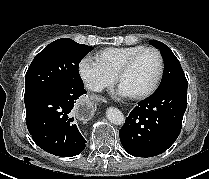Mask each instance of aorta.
<instances>
[{
	"instance_id": "1",
	"label": "aorta",
	"mask_w": 209,
	"mask_h": 179,
	"mask_svg": "<svg viewBox=\"0 0 209 179\" xmlns=\"http://www.w3.org/2000/svg\"><path fill=\"white\" fill-rule=\"evenodd\" d=\"M106 116L108 120L114 125H121L125 121L123 113L119 109L114 107H110L107 109Z\"/></svg>"
}]
</instances>
